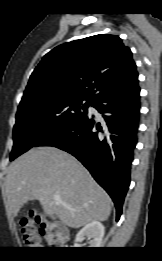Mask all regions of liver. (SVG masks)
Masks as SVG:
<instances>
[{
    "mask_svg": "<svg viewBox=\"0 0 162 261\" xmlns=\"http://www.w3.org/2000/svg\"><path fill=\"white\" fill-rule=\"evenodd\" d=\"M6 194L14 217L36 199L46 215L71 228L105 221L111 213L108 194L76 158L55 147L34 148L16 159L6 176ZM54 194L61 201L54 200Z\"/></svg>",
    "mask_w": 162,
    "mask_h": 261,
    "instance_id": "1",
    "label": "liver"
}]
</instances>
